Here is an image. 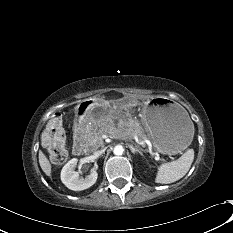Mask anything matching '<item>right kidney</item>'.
<instances>
[{
	"mask_svg": "<svg viewBox=\"0 0 233 233\" xmlns=\"http://www.w3.org/2000/svg\"><path fill=\"white\" fill-rule=\"evenodd\" d=\"M77 162V158L71 159L61 171V181L67 188L73 191H81L91 187L98 177V173L95 170H91V173L85 178L80 177L78 172L75 171Z\"/></svg>",
	"mask_w": 233,
	"mask_h": 233,
	"instance_id": "right-kidney-1",
	"label": "right kidney"
}]
</instances>
